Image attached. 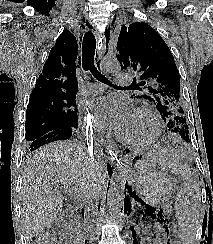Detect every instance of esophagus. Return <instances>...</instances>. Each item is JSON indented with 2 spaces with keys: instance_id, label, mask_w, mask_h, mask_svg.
Masks as SVG:
<instances>
[{
  "instance_id": "obj_1",
  "label": "esophagus",
  "mask_w": 213,
  "mask_h": 244,
  "mask_svg": "<svg viewBox=\"0 0 213 244\" xmlns=\"http://www.w3.org/2000/svg\"><path fill=\"white\" fill-rule=\"evenodd\" d=\"M106 51H107V43H106V40L104 38L102 48L98 52V55H97V58H96V64H97L98 67H101V65L103 63V57H104V54L106 53ZM108 151H109V154L111 155V157L113 159L116 158V156L120 152L119 148L113 142H110L109 143V145H108Z\"/></svg>"
}]
</instances>
